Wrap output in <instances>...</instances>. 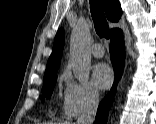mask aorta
<instances>
[{"mask_svg": "<svg viewBox=\"0 0 156 124\" xmlns=\"http://www.w3.org/2000/svg\"><path fill=\"white\" fill-rule=\"evenodd\" d=\"M90 38L88 23L83 20L79 21L71 35L70 60L73 72L81 82L88 80L91 69Z\"/></svg>", "mask_w": 156, "mask_h": 124, "instance_id": "1", "label": "aorta"}]
</instances>
